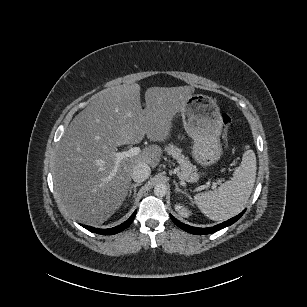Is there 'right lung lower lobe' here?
I'll return each mask as SVG.
<instances>
[{
	"instance_id": "right-lung-lower-lobe-1",
	"label": "right lung lower lobe",
	"mask_w": 307,
	"mask_h": 307,
	"mask_svg": "<svg viewBox=\"0 0 307 307\" xmlns=\"http://www.w3.org/2000/svg\"><path fill=\"white\" fill-rule=\"evenodd\" d=\"M135 215H136V211L131 215V217L127 221H125L124 223H122L119 226H116V227L110 228V229H98V228H94V227H90V226H85V225H82V226L84 228L88 229L91 232H95V233L102 234V235H112V234H116V233L124 230L128 226H130V224L134 220Z\"/></svg>"
}]
</instances>
